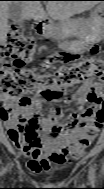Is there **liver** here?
<instances>
[{
	"instance_id": "obj_1",
	"label": "liver",
	"mask_w": 104,
	"mask_h": 189,
	"mask_svg": "<svg viewBox=\"0 0 104 189\" xmlns=\"http://www.w3.org/2000/svg\"><path fill=\"white\" fill-rule=\"evenodd\" d=\"M18 4L22 9V16L20 22L24 20H43L47 14L54 20L61 23H67L70 17L80 14L97 5L95 1H49L47 3V13L44 11L40 1H21ZM9 2L3 1L0 3L1 15V41H5L9 31L8 19L10 17Z\"/></svg>"
}]
</instances>
